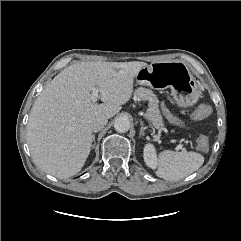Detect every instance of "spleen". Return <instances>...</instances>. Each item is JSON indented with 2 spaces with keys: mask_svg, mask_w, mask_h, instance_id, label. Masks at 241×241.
<instances>
[{
  "mask_svg": "<svg viewBox=\"0 0 241 241\" xmlns=\"http://www.w3.org/2000/svg\"><path fill=\"white\" fill-rule=\"evenodd\" d=\"M203 163L204 157L197 152L163 150L159 154L156 175L169 181L179 180L198 170Z\"/></svg>",
  "mask_w": 241,
  "mask_h": 241,
  "instance_id": "spleen-1",
  "label": "spleen"
}]
</instances>
